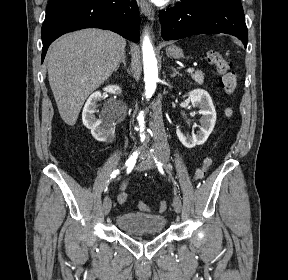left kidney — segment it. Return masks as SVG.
<instances>
[{
    "instance_id": "1",
    "label": "left kidney",
    "mask_w": 288,
    "mask_h": 280,
    "mask_svg": "<svg viewBox=\"0 0 288 280\" xmlns=\"http://www.w3.org/2000/svg\"><path fill=\"white\" fill-rule=\"evenodd\" d=\"M193 107H198L200 118L199 130L196 134H185L177 128L176 134L179 141L187 148L203 144L214 129L216 122V111L209 93L203 89H195L188 93Z\"/></svg>"
}]
</instances>
